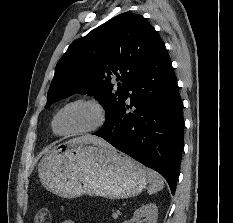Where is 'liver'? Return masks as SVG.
Returning a JSON list of instances; mask_svg holds the SVG:
<instances>
[{
	"label": "liver",
	"mask_w": 233,
	"mask_h": 223,
	"mask_svg": "<svg viewBox=\"0 0 233 223\" xmlns=\"http://www.w3.org/2000/svg\"><path fill=\"white\" fill-rule=\"evenodd\" d=\"M72 143H80V141H90V143H96V145H106V147H112L110 143H107L105 139L102 137H96V135H90V133H85V135H81V137H74V139H70Z\"/></svg>",
	"instance_id": "1"
}]
</instances>
